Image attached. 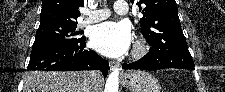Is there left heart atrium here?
Wrapping results in <instances>:
<instances>
[{
	"instance_id": "39dd6f15",
	"label": "left heart atrium",
	"mask_w": 225,
	"mask_h": 92,
	"mask_svg": "<svg viewBox=\"0 0 225 92\" xmlns=\"http://www.w3.org/2000/svg\"><path fill=\"white\" fill-rule=\"evenodd\" d=\"M91 45L108 57H119L127 52L131 43V31L125 22H104L91 32Z\"/></svg>"
}]
</instances>
